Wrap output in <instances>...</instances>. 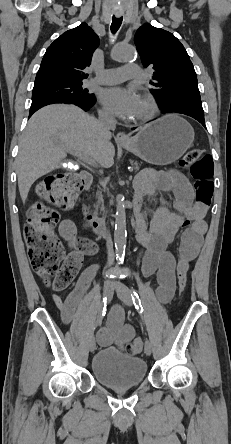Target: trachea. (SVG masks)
Masks as SVG:
<instances>
[{"label":"trachea","mask_w":231,"mask_h":444,"mask_svg":"<svg viewBox=\"0 0 231 444\" xmlns=\"http://www.w3.org/2000/svg\"><path fill=\"white\" fill-rule=\"evenodd\" d=\"M122 19H123L122 17H119V18H117L115 16L112 17L111 32L113 34H115L118 31V29L120 28V26L122 24Z\"/></svg>","instance_id":"obj_1"}]
</instances>
